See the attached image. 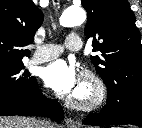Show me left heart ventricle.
<instances>
[{"label": "left heart ventricle", "mask_w": 142, "mask_h": 128, "mask_svg": "<svg viewBox=\"0 0 142 128\" xmlns=\"http://www.w3.org/2000/svg\"><path fill=\"white\" fill-rule=\"evenodd\" d=\"M76 95H79V96H85L86 95V89L82 86H80L79 90L77 91Z\"/></svg>", "instance_id": "obj_1"}]
</instances>
